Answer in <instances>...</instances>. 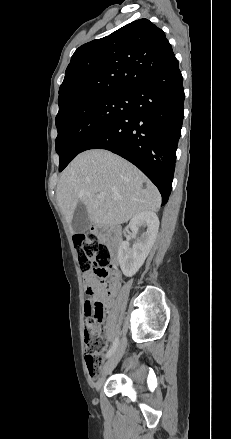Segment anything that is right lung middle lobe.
I'll list each match as a JSON object with an SVG mask.
<instances>
[{
	"label": "right lung middle lobe",
	"mask_w": 231,
	"mask_h": 439,
	"mask_svg": "<svg viewBox=\"0 0 231 439\" xmlns=\"http://www.w3.org/2000/svg\"><path fill=\"white\" fill-rule=\"evenodd\" d=\"M132 94L102 95L83 100L56 116V152L62 171L102 130L126 114Z\"/></svg>",
	"instance_id": "1"
}]
</instances>
